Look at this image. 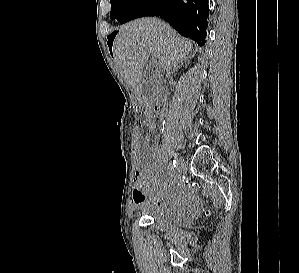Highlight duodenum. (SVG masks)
Returning <instances> with one entry per match:
<instances>
[{
  "label": "duodenum",
  "instance_id": "obj_1",
  "mask_svg": "<svg viewBox=\"0 0 299 273\" xmlns=\"http://www.w3.org/2000/svg\"><path fill=\"white\" fill-rule=\"evenodd\" d=\"M154 108L160 113L165 112V99L164 96H159L154 100Z\"/></svg>",
  "mask_w": 299,
  "mask_h": 273
}]
</instances>
